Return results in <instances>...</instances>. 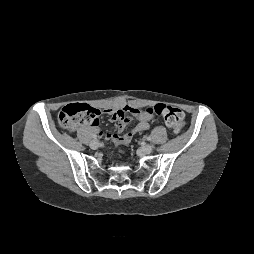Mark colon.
I'll return each instance as SVG.
<instances>
[{
	"label": "colon",
	"instance_id": "1",
	"mask_svg": "<svg viewBox=\"0 0 254 254\" xmlns=\"http://www.w3.org/2000/svg\"><path fill=\"white\" fill-rule=\"evenodd\" d=\"M146 113L161 117L166 126L174 133H179L185 126L184 113L175 106L160 103L147 108ZM98 117V110L87 104H70L59 111L57 121L61 128L74 130L82 123H93L95 120L99 119ZM127 143L129 142L126 138H121L119 141V144Z\"/></svg>",
	"mask_w": 254,
	"mask_h": 254
}]
</instances>
